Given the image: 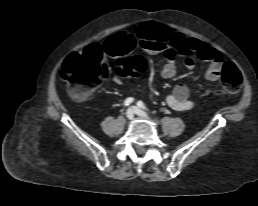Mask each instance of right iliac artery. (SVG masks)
<instances>
[{
    "label": "right iliac artery",
    "instance_id": "obj_1",
    "mask_svg": "<svg viewBox=\"0 0 258 206\" xmlns=\"http://www.w3.org/2000/svg\"><path fill=\"white\" fill-rule=\"evenodd\" d=\"M133 101H134V99H133L132 97L127 98V99L124 101V106L130 105Z\"/></svg>",
    "mask_w": 258,
    "mask_h": 206
}]
</instances>
